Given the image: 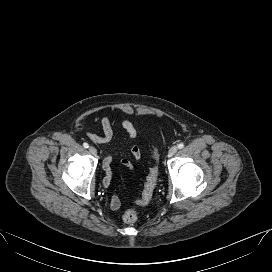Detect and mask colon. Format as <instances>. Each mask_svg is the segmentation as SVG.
<instances>
[{
	"label": "colon",
	"mask_w": 272,
	"mask_h": 272,
	"mask_svg": "<svg viewBox=\"0 0 272 272\" xmlns=\"http://www.w3.org/2000/svg\"><path fill=\"white\" fill-rule=\"evenodd\" d=\"M154 159L155 163L150 168L149 173L147 175L146 181L144 183L142 195L140 199L138 200L139 204H147L153 195L154 189L156 187L157 181H158V166L156 163L157 160V150L154 152ZM138 220V214L134 209H128L123 214V221L126 224H134Z\"/></svg>",
	"instance_id": "obj_1"
}]
</instances>
